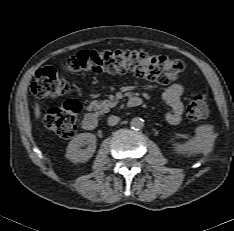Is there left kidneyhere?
Instances as JSON below:
<instances>
[{"instance_id":"left-kidney-1","label":"left kidney","mask_w":234,"mask_h":231,"mask_svg":"<svg viewBox=\"0 0 234 231\" xmlns=\"http://www.w3.org/2000/svg\"><path fill=\"white\" fill-rule=\"evenodd\" d=\"M217 134L212 125H202L195 129V137L186 144H175V151L180 154H208L213 150Z\"/></svg>"}]
</instances>
